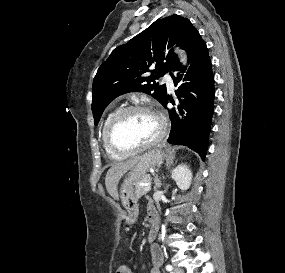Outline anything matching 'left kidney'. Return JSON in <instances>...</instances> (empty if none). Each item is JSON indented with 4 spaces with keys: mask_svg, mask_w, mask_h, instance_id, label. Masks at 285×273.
<instances>
[{
    "mask_svg": "<svg viewBox=\"0 0 285 273\" xmlns=\"http://www.w3.org/2000/svg\"><path fill=\"white\" fill-rule=\"evenodd\" d=\"M172 178L181 190H187L191 185L192 172L187 165H179L173 170Z\"/></svg>",
    "mask_w": 285,
    "mask_h": 273,
    "instance_id": "1",
    "label": "left kidney"
}]
</instances>
